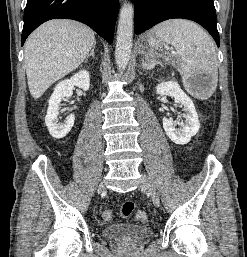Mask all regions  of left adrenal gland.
Here are the masks:
<instances>
[{
  "instance_id": "left-adrenal-gland-1",
  "label": "left adrenal gland",
  "mask_w": 247,
  "mask_h": 257,
  "mask_svg": "<svg viewBox=\"0 0 247 257\" xmlns=\"http://www.w3.org/2000/svg\"><path fill=\"white\" fill-rule=\"evenodd\" d=\"M157 64L163 66L162 62L160 61H157V60H151V61H148L147 63L146 62H143L142 63V67L146 70H151L153 69Z\"/></svg>"
}]
</instances>
